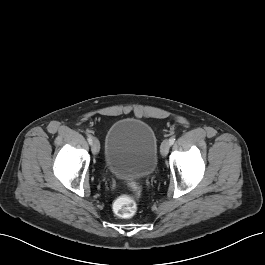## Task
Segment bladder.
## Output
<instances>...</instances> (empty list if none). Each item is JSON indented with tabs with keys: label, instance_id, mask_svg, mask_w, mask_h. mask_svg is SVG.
<instances>
[{
	"label": "bladder",
	"instance_id": "obj_1",
	"mask_svg": "<svg viewBox=\"0 0 265 265\" xmlns=\"http://www.w3.org/2000/svg\"><path fill=\"white\" fill-rule=\"evenodd\" d=\"M158 142L153 128L137 118H121L108 129L106 167L114 176L131 180L150 177L157 166Z\"/></svg>",
	"mask_w": 265,
	"mask_h": 265
}]
</instances>
